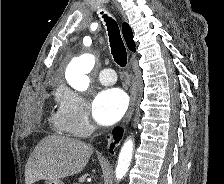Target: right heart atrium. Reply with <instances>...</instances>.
<instances>
[{"label": "right heart atrium", "instance_id": "d8ad5b80", "mask_svg": "<svg viewBox=\"0 0 224 184\" xmlns=\"http://www.w3.org/2000/svg\"><path fill=\"white\" fill-rule=\"evenodd\" d=\"M62 119L70 133L85 136L91 129L89 105L84 96L76 91L65 89L59 93Z\"/></svg>", "mask_w": 224, "mask_h": 184}]
</instances>
